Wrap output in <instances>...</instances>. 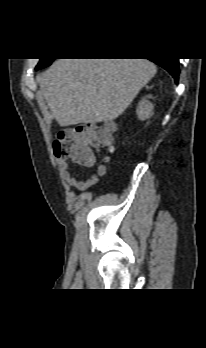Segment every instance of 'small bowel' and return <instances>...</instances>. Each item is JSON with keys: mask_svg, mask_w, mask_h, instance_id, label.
<instances>
[{"mask_svg": "<svg viewBox=\"0 0 206 348\" xmlns=\"http://www.w3.org/2000/svg\"><path fill=\"white\" fill-rule=\"evenodd\" d=\"M94 163L88 166H92ZM59 164L62 169L64 179L70 186L79 191L96 185L106 173V166L104 164H98L91 176H89L87 179H80L70 173L69 165L65 160H59Z\"/></svg>", "mask_w": 206, "mask_h": 348, "instance_id": "obj_1", "label": "small bowel"}]
</instances>
